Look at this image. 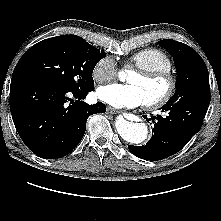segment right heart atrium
Returning <instances> with one entry per match:
<instances>
[{
  "instance_id": "obj_1",
  "label": "right heart atrium",
  "mask_w": 221,
  "mask_h": 221,
  "mask_svg": "<svg viewBox=\"0 0 221 221\" xmlns=\"http://www.w3.org/2000/svg\"><path fill=\"white\" fill-rule=\"evenodd\" d=\"M117 74L116 64L110 57H103L98 60L91 73L93 80L98 84L113 80Z\"/></svg>"
}]
</instances>
